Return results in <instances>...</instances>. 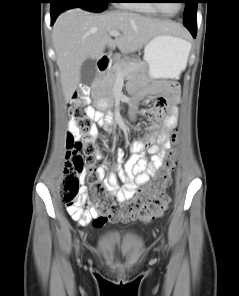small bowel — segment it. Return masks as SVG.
<instances>
[{
	"instance_id": "small-bowel-1",
	"label": "small bowel",
	"mask_w": 239,
	"mask_h": 296,
	"mask_svg": "<svg viewBox=\"0 0 239 296\" xmlns=\"http://www.w3.org/2000/svg\"><path fill=\"white\" fill-rule=\"evenodd\" d=\"M168 89L169 105L166 104V99L163 97L156 99L153 108L149 112V115L155 122L148 127V132L142 139L134 141L130 145L131 157L125 160L124 152L118 151L117 157L120 165L117 167V173L106 172V167L109 164L108 160H105L104 165L99 169L100 176L104 180L107 190L115 196L118 202L130 199L139 186L147 183L150 177L161 169L166 152L171 147L170 136L176 128L178 121V108L176 106L178 102V86L173 83L168 86ZM141 98L142 93L134 91L130 104L132 116L139 112L137 104ZM89 115L100 125L110 124L112 121L111 115L103 118L101 113L92 109H90ZM69 130L74 135H78L73 122L69 123ZM92 134L94 136L99 135L96 126L93 127ZM145 152L151 155L150 159L146 157ZM120 182L123 183L122 187ZM68 213L71 215L69 211ZM90 216L91 219L89 221H79L80 224L87 225L92 222L94 227H101L106 223V221L98 222V213L95 208L90 209ZM121 219L127 222L135 218L130 215H124Z\"/></svg>"
}]
</instances>
